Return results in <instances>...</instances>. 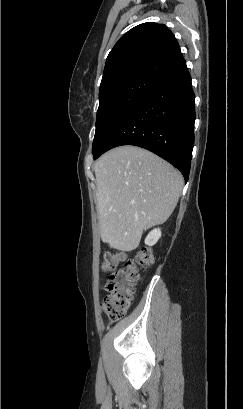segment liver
Returning a JSON list of instances; mask_svg holds the SVG:
<instances>
[{"mask_svg":"<svg viewBox=\"0 0 243 409\" xmlns=\"http://www.w3.org/2000/svg\"><path fill=\"white\" fill-rule=\"evenodd\" d=\"M94 172L101 239L125 252L139 246L143 231L170 217L184 185L171 164L131 145L102 155Z\"/></svg>","mask_w":243,"mask_h":409,"instance_id":"liver-1","label":"liver"}]
</instances>
